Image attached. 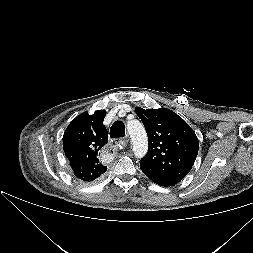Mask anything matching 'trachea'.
I'll use <instances>...</instances> for the list:
<instances>
[{
	"label": "trachea",
	"mask_w": 253,
	"mask_h": 253,
	"mask_svg": "<svg viewBox=\"0 0 253 253\" xmlns=\"http://www.w3.org/2000/svg\"><path fill=\"white\" fill-rule=\"evenodd\" d=\"M125 135V126L122 121H116L110 128V137L119 138Z\"/></svg>",
	"instance_id": "trachea-1"
}]
</instances>
